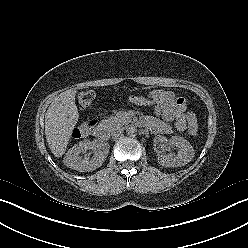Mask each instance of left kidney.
<instances>
[{
    "instance_id": "5707ae66",
    "label": "left kidney",
    "mask_w": 248,
    "mask_h": 248,
    "mask_svg": "<svg viewBox=\"0 0 248 248\" xmlns=\"http://www.w3.org/2000/svg\"><path fill=\"white\" fill-rule=\"evenodd\" d=\"M171 146L177 148V154H158V162L165 167H181L189 163L194 157V149L190 143L180 136H172L169 140Z\"/></svg>"
}]
</instances>
